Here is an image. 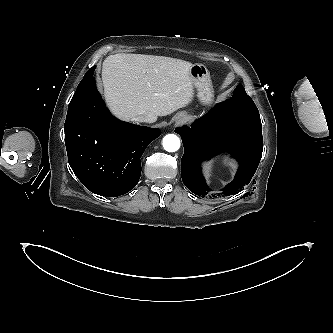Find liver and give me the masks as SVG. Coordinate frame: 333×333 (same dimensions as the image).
Instances as JSON below:
<instances>
[{
	"label": "liver",
	"mask_w": 333,
	"mask_h": 333,
	"mask_svg": "<svg viewBox=\"0 0 333 333\" xmlns=\"http://www.w3.org/2000/svg\"><path fill=\"white\" fill-rule=\"evenodd\" d=\"M192 63L181 59L143 55L108 56L102 67L104 97L111 112L122 120L144 115L149 123L192 101Z\"/></svg>",
	"instance_id": "6515ba94"
}]
</instances>
